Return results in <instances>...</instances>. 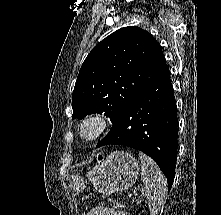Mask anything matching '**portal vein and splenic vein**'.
Instances as JSON below:
<instances>
[{"label":"portal vein and splenic vein","instance_id":"1","mask_svg":"<svg viewBox=\"0 0 221 215\" xmlns=\"http://www.w3.org/2000/svg\"><path fill=\"white\" fill-rule=\"evenodd\" d=\"M133 193H134V194H137V191H136V190H134V191H133Z\"/></svg>","mask_w":221,"mask_h":215}]
</instances>
